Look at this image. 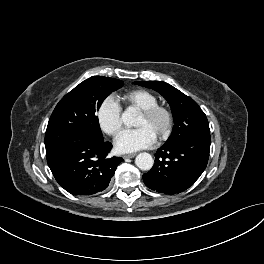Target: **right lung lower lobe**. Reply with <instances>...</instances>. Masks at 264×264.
I'll use <instances>...</instances> for the list:
<instances>
[{"instance_id": "obj_1", "label": "right lung lower lobe", "mask_w": 264, "mask_h": 264, "mask_svg": "<svg viewBox=\"0 0 264 264\" xmlns=\"http://www.w3.org/2000/svg\"><path fill=\"white\" fill-rule=\"evenodd\" d=\"M110 142L77 140L46 151L47 163L61 187L72 195H92L107 188L121 157H109Z\"/></svg>"}]
</instances>
